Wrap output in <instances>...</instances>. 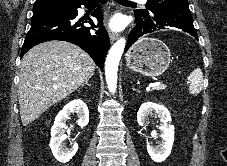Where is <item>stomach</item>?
I'll return each mask as SVG.
<instances>
[{
  "mask_svg": "<svg viewBox=\"0 0 227 166\" xmlns=\"http://www.w3.org/2000/svg\"><path fill=\"white\" fill-rule=\"evenodd\" d=\"M171 53L165 43L155 38L139 39L127 52V67L145 76H159L169 67Z\"/></svg>",
  "mask_w": 227,
  "mask_h": 166,
  "instance_id": "1",
  "label": "stomach"
}]
</instances>
